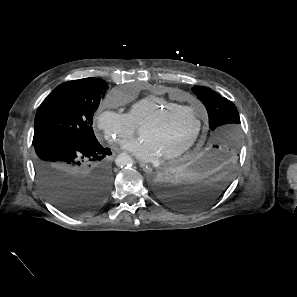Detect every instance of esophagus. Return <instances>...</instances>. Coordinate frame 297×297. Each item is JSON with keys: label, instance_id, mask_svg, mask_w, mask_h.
I'll return each instance as SVG.
<instances>
[{"label": "esophagus", "instance_id": "obj_1", "mask_svg": "<svg viewBox=\"0 0 297 297\" xmlns=\"http://www.w3.org/2000/svg\"><path fill=\"white\" fill-rule=\"evenodd\" d=\"M139 165L145 173H147V174L152 173L153 169L150 167V165L142 163V162H140Z\"/></svg>", "mask_w": 297, "mask_h": 297}]
</instances>
